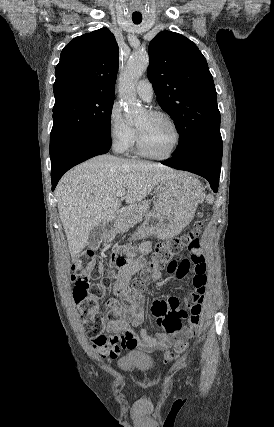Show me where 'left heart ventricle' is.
Listing matches in <instances>:
<instances>
[{"mask_svg":"<svg viewBox=\"0 0 274 427\" xmlns=\"http://www.w3.org/2000/svg\"><path fill=\"white\" fill-rule=\"evenodd\" d=\"M143 148L153 155H165L174 144V132L168 121L163 118L143 114L135 125Z\"/></svg>","mask_w":274,"mask_h":427,"instance_id":"obj_1","label":"left heart ventricle"}]
</instances>
